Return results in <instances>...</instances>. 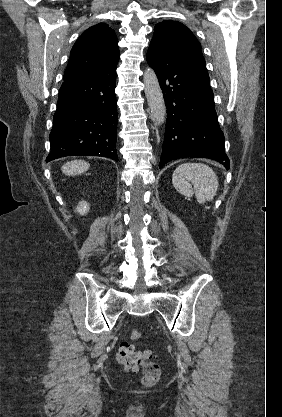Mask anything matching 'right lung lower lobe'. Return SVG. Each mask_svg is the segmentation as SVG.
Returning <instances> with one entry per match:
<instances>
[{
	"instance_id": "98d812e1",
	"label": "right lung lower lobe",
	"mask_w": 282,
	"mask_h": 417,
	"mask_svg": "<svg viewBox=\"0 0 282 417\" xmlns=\"http://www.w3.org/2000/svg\"><path fill=\"white\" fill-rule=\"evenodd\" d=\"M117 64L63 82L46 161L64 156H102L118 161Z\"/></svg>"
}]
</instances>
